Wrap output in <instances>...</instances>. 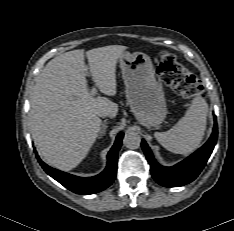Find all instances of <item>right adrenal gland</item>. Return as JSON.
<instances>
[{
  "label": "right adrenal gland",
  "mask_w": 234,
  "mask_h": 231,
  "mask_svg": "<svg viewBox=\"0 0 234 231\" xmlns=\"http://www.w3.org/2000/svg\"><path fill=\"white\" fill-rule=\"evenodd\" d=\"M107 119H105L102 123V129L100 130V135L99 137L101 138L103 136V134H105V129L107 128Z\"/></svg>",
  "instance_id": "2a0ac1e0"
}]
</instances>
